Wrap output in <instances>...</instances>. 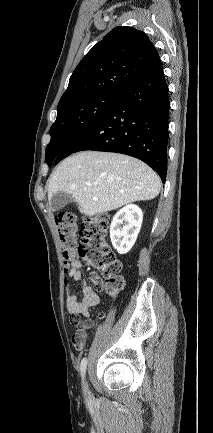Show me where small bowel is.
Segmentation results:
<instances>
[{
  "instance_id": "small-bowel-1",
  "label": "small bowel",
  "mask_w": 213,
  "mask_h": 433,
  "mask_svg": "<svg viewBox=\"0 0 213 433\" xmlns=\"http://www.w3.org/2000/svg\"><path fill=\"white\" fill-rule=\"evenodd\" d=\"M69 278L81 285V297H78L72 292V285L67 284L66 289V307L67 311L72 316L89 317V309L99 303V295L86 283L82 281V272L78 263L72 265L68 271ZM93 323L90 320L83 321V327L80 331H76L72 341L76 349L81 350L84 347L87 330L92 327ZM80 337V341H78Z\"/></svg>"
}]
</instances>
